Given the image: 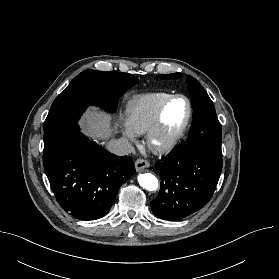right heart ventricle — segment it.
<instances>
[{
  "mask_svg": "<svg viewBox=\"0 0 279 279\" xmlns=\"http://www.w3.org/2000/svg\"><path fill=\"white\" fill-rule=\"evenodd\" d=\"M170 96L167 92L135 96L127 108V127L137 135L146 133L153 125L159 108Z\"/></svg>",
  "mask_w": 279,
  "mask_h": 279,
  "instance_id": "obj_1",
  "label": "right heart ventricle"
}]
</instances>
